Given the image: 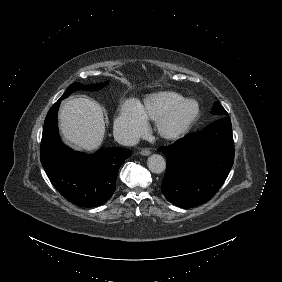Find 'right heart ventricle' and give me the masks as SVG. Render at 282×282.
I'll return each instance as SVG.
<instances>
[{
	"label": "right heart ventricle",
	"instance_id": "obj_1",
	"mask_svg": "<svg viewBox=\"0 0 282 282\" xmlns=\"http://www.w3.org/2000/svg\"><path fill=\"white\" fill-rule=\"evenodd\" d=\"M181 99L182 97L175 93H159L148 97L141 109L146 118L157 120Z\"/></svg>",
	"mask_w": 282,
	"mask_h": 282
}]
</instances>
